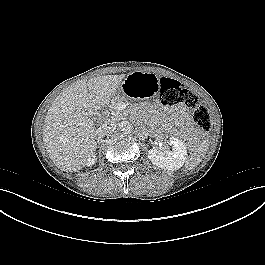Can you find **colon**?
Wrapping results in <instances>:
<instances>
[{
    "label": "colon",
    "instance_id": "colon-1",
    "mask_svg": "<svg viewBox=\"0 0 265 265\" xmlns=\"http://www.w3.org/2000/svg\"><path fill=\"white\" fill-rule=\"evenodd\" d=\"M160 95L162 103L167 107L178 104L193 108V121L202 130L211 128L210 113L207 107L201 105L197 96L174 79L163 77L160 79Z\"/></svg>",
    "mask_w": 265,
    "mask_h": 265
}]
</instances>
